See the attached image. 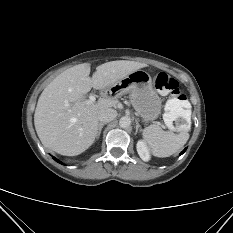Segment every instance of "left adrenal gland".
I'll use <instances>...</instances> for the list:
<instances>
[{
	"mask_svg": "<svg viewBox=\"0 0 233 233\" xmlns=\"http://www.w3.org/2000/svg\"><path fill=\"white\" fill-rule=\"evenodd\" d=\"M135 122H136V131H135V134H137V132L141 131L142 129L140 128V125H139L138 121L135 120Z\"/></svg>",
	"mask_w": 233,
	"mask_h": 233,
	"instance_id": "1",
	"label": "left adrenal gland"
}]
</instances>
